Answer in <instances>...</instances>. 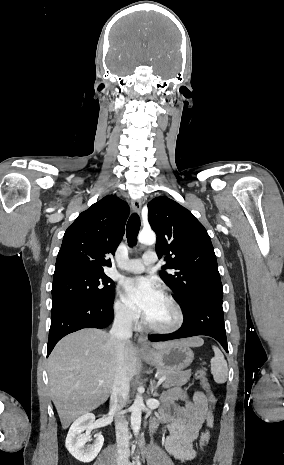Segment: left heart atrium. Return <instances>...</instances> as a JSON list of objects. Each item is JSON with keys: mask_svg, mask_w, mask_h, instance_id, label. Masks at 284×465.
<instances>
[{"mask_svg": "<svg viewBox=\"0 0 284 465\" xmlns=\"http://www.w3.org/2000/svg\"><path fill=\"white\" fill-rule=\"evenodd\" d=\"M123 297L132 309L147 317L162 295L154 280L147 277H137L127 280Z\"/></svg>", "mask_w": 284, "mask_h": 465, "instance_id": "obj_1", "label": "left heart atrium"}]
</instances>
